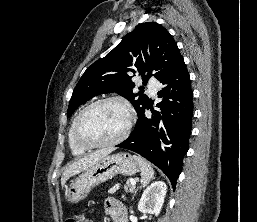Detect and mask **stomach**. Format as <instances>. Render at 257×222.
I'll list each match as a JSON object with an SVG mask.
<instances>
[{
	"instance_id": "obj_1",
	"label": "stomach",
	"mask_w": 257,
	"mask_h": 222,
	"mask_svg": "<svg viewBox=\"0 0 257 222\" xmlns=\"http://www.w3.org/2000/svg\"><path fill=\"white\" fill-rule=\"evenodd\" d=\"M137 160L129 153L107 155L76 177L66 188L68 202L78 203L97 185L118 174L132 176L139 171Z\"/></svg>"
}]
</instances>
